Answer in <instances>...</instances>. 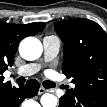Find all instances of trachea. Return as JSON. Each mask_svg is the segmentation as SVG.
Segmentation results:
<instances>
[{
  "label": "trachea",
  "instance_id": "3493384b",
  "mask_svg": "<svg viewBox=\"0 0 107 107\" xmlns=\"http://www.w3.org/2000/svg\"><path fill=\"white\" fill-rule=\"evenodd\" d=\"M43 86L45 88H53V87L56 86V84L54 82H52V81L47 80V81L43 82Z\"/></svg>",
  "mask_w": 107,
  "mask_h": 107
}]
</instances>
